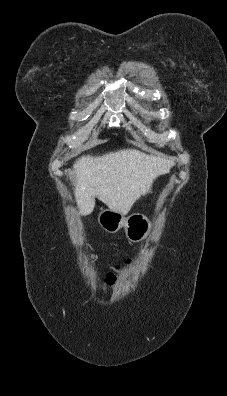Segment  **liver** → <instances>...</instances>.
<instances>
[{
  "instance_id": "obj_1",
  "label": "liver",
  "mask_w": 227,
  "mask_h": 396,
  "mask_svg": "<svg viewBox=\"0 0 227 396\" xmlns=\"http://www.w3.org/2000/svg\"><path fill=\"white\" fill-rule=\"evenodd\" d=\"M172 165L170 160L135 149L82 156L73 170L79 213L91 214L97 197L109 209L127 214L141 196L150 192L153 181Z\"/></svg>"
}]
</instances>
